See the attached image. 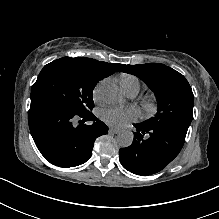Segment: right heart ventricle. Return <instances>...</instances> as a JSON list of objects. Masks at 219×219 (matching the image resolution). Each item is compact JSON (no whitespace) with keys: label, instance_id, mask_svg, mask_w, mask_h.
I'll list each match as a JSON object with an SVG mask.
<instances>
[{"label":"right heart ventricle","instance_id":"e07e8e85","mask_svg":"<svg viewBox=\"0 0 219 219\" xmlns=\"http://www.w3.org/2000/svg\"><path fill=\"white\" fill-rule=\"evenodd\" d=\"M119 83L121 89L126 94L135 93L136 95L140 91L142 86L141 81L137 76L126 73L120 75Z\"/></svg>","mask_w":219,"mask_h":219}]
</instances>
